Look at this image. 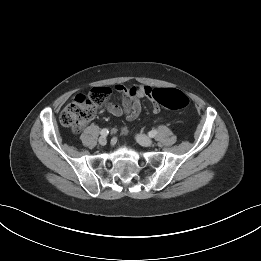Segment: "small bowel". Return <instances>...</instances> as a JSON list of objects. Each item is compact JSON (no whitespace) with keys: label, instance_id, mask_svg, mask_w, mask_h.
Wrapping results in <instances>:
<instances>
[{"label":"small bowel","instance_id":"c3829d8e","mask_svg":"<svg viewBox=\"0 0 261 261\" xmlns=\"http://www.w3.org/2000/svg\"><path fill=\"white\" fill-rule=\"evenodd\" d=\"M115 89L122 95V102L121 104L108 103L106 108L112 115H125L129 120H134L140 115L142 109L140 98L143 96L151 97L153 91L151 87L144 85L125 86L117 84ZM153 111L155 113L159 111V107L156 104L153 107ZM121 131L123 134L128 132L126 127H123Z\"/></svg>","mask_w":261,"mask_h":261}]
</instances>
